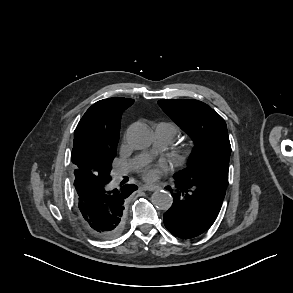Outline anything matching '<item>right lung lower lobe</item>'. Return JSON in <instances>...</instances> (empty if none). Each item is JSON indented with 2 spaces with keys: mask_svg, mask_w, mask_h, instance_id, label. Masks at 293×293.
Returning a JSON list of instances; mask_svg holds the SVG:
<instances>
[{
  "mask_svg": "<svg viewBox=\"0 0 293 293\" xmlns=\"http://www.w3.org/2000/svg\"><path fill=\"white\" fill-rule=\"evenodd\" d=\"M111 176L75 170L74 188L79 216L86 229L101 239L119 235L124 227V202L137 189L134 184L110 188Z\"/></svg>",
  "mask_w": 293,
  "mask_h": 293,
  "instance_id": "obj_1",
  "label": "right lung lower lobe"
}]
</instances>
